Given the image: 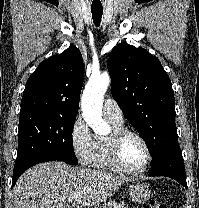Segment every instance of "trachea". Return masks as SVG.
I'll return each instance as SVG.
<instances>
[{"instance_id": "trachea-1", "label": "trachea", "mask_w": 199, "mask_h": 208, "mask_svg": "<svg viewBox=\"0 0 199 208\" xmlns=\"http://www.w3.org/2000/svg\"><path fill=\"white\" fill-rule=\"evenodd\" d=\"M93 21L96 26H99L103 14V9H91Z\"/></svg>"}]
</instances>
